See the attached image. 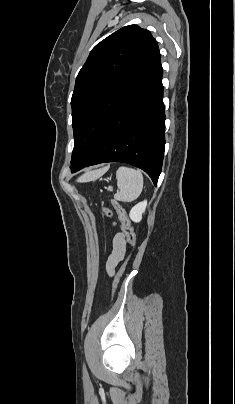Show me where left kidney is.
Wrapping results in <instances>:
<instances>
[{
  "label": "left kidney",
  "mask_w": 235,
  "mask_h": 404,
  "mask_svg": "<svg viewBox=\"0 0 235 404\" xmlns=\"http://www.w3.org/2000/svg\"><path fill=\"white\" fill-rule=\"evenodd\" d=\"M147 201H142L136 204L130 211L129 217L134 222H140L142 220V214L145 212Z\"/></svg>",
  "instance_id": "left-kidney-1"
}]
</instances>
